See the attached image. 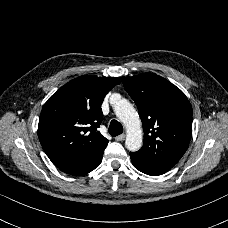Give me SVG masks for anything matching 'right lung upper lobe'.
Masks as SVG:
<instances>
[{"mask_svg":"<svg viewBox=\"0 0 228 228\" xmlns=\"http://www.w3.org/2000/svg\"><path fill=\"white\" fill-rule=\"evenodd\" d=\"M120 81L116 77L81 76L61 87L43 106L38 136L43 150L59 169L79 165L108 140L97 131L101 104Z\"/></svg>","mask_w":228,"mask_h":228,"instance_id":"1","label":"right lung upper lobe"}]
</instances>
